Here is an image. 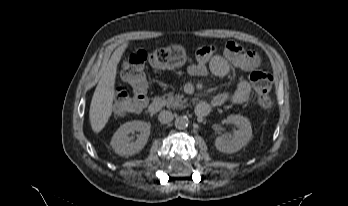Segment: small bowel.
I'll list each match as a JSON object with an SVG mask.
<instances>
[{"instance_id":"small-bowel-1","label":"small bowel","mask_w":348,"mask_h":206,"mask_svg":"<svg viewBox=\"0 0 348 206\" xmlns=\"http://www.w3.org/2000/svg\"><path fill=\"white\" fill-rule=\"evenodd\" d=\"M199 56L195 61H190L187 72L191 75L202 76L211 71L217 77H225L231 71V66L244 70L256 69L260 62L258 55L246 50L236 42L227 43L223 54L215 53V50L208 45L198 49ZM206 55V56H205ZM251 86L246 78L240 77L233 92L219 93L212 99V105L221 106L227 102L234 104L244 103L250 96Z\"/></svg>"}]
</instances>
